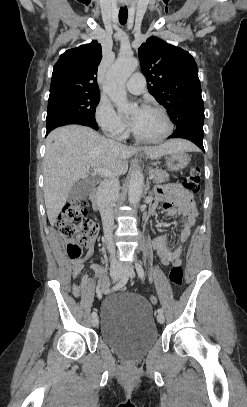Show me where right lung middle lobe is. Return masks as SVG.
<instances>
[{"label":"right lung middle lobe","instance_id":"right-lung-middle-lobe-1","mask_svg":"<svg viewBox=\"0 0 247 407\" xmlns=\"http://www.w3.org/2000/svg\"><path fill=\"white\" fill-rule=\"evenodd\" d=\"M99 93L61 91L50 94L47 109V126L60 120H81L96 124L95 110Z\"/></svg>","mask_w":247,"mask_h":407}]
</instances>
